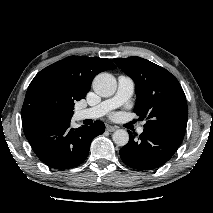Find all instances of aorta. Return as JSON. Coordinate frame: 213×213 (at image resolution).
Instances as JSON below:
<instances>
[{
    "label": "aorta",
    "mask_w": 213,
    "mask_h": 213,
    "mask_svg": "<svg viewBox=\"0 0 213 213\" xmlns=\"http://www.w3.org/2000/svg\"><path fill=\"white\" fill-rule=\"evenodd\" d=\"M92 86L95 93L99 96L109 97L115 93L117 82L111 74L100 73L94 78ZM112 139L116 145L125 146L129 141V134L126 130L119 129L113 133Z\"/></svg>",
    "instance_id": "762f6f07"
}]
</instances>
